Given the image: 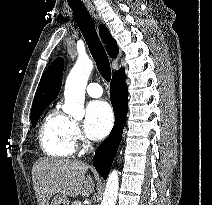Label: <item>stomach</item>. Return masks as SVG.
Here are the masks:
<instances>
[{
	"label": "stomach",
	"mask_w": 212,
	"mask_h": 205,
	"mask_svg": "<svg viewBox=\"0 0 212 205\" xmlns=\"http://www.w3.org/2000/svg\"><path fill=\"white\" fill-rule=\"evenodd\" d=\"M50 205H70V201L66 196L56 195Z\"/></svg>",
	"instance_id": "1"
}]
</instances>
